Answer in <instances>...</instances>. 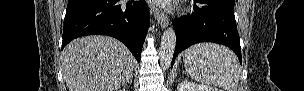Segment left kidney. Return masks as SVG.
<instances>
[{
	"label": "left kidney",
	"mask_w": 304,
	"mask_h": 91,
	"mask_svg": "<svg viewBox=\"0 0 304 91\" xmlns=\"http://www.w3.org/2000/svg\"><path fill=\"white\" fill-rule=\"evenodd\" d=\"M177 91H220L209 85L195 84L189 81H182L177 86Z\"/></svg>",
	"instance_id": "obj_1"
}]
</instances>
